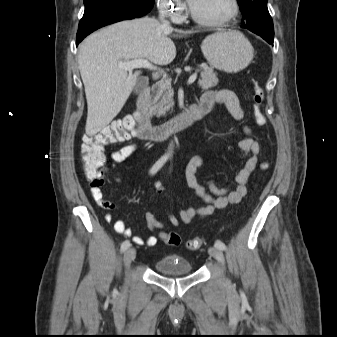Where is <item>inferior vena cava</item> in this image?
I'll return each mask as SVG.
<instances>
[{
	"mask_svg": "<svg viewBox=\"0 0 337 337\" xmlns=\"http://www.w3.org/2000/svg\"><path fill=\"white\" fill-rule=\"evenodd\" d=\"M165 13H166L165 9H164V8H161V10H160V19H161V21H162V24H163L165 27L171 28L170 23H169L167 20L164 19Z\"/></svg>",
	"mask_w": 337,
	"mask_h": 337,
	"instance_id": "obj_1",
	"label": "inferior vena cava"
}]
</instances>
